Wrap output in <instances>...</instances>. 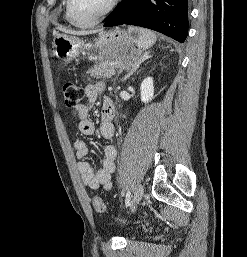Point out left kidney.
<instances>
[{
    "label": "left kidney",
    "instance_id": "obj_1",
    "mask_svg": "<svg viewBox=\"0 0 247 257\" xmlns=\"http://www.w3.org/2000/svg\"><path fill=\"white\" fill-rule=\"evenodd\" d=\"M153 78L147 77L145 78L140 86V93H141V101L147 103L154 97V85H153Z\"/></svg>",
    "mask_w": 247,
    "mask_h": 257
}]
</instances>
